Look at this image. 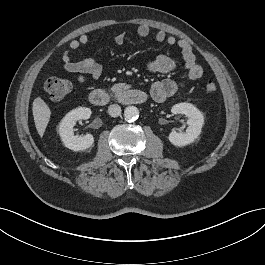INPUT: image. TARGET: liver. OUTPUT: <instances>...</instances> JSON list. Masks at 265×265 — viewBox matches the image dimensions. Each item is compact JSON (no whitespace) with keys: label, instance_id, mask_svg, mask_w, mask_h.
I'll return each instance as SVG.
<instances>
[{"label":"liver","instance_id":"1","mask_svg":"<svg viewBox=\"0 0 265 265\" xmlns=\"http://www.w3.org/2000/svg\"><path fill=\"white\" fill-rule=\"evenodd\" d=\"M32 111L37 132L42 137L49 123L51 111L48 105L39 97L34 99Z\"/></svg>","mask_w":265,"mask_h":265}]
</instances>
